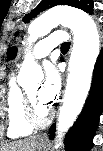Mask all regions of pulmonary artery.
Returning a JSON list of instances; mask_svg holds the SVG:
<instances>
[{
    "mask_svg": "<svg viewBox=\"0 0 103 151\" xmlns=\"http://www.w3.org/2000/svg\"><path fill=\"white\" fill-rule=\"evenodd\" d=\"M68 36L63 31H56L46 38L38 41L32 51L31 55L35 59H41L46 57L57 45L65 43Z\"/></svg>",
    "mask_w": 103,
    "mask_h": 151,
    "instance_id": "obj_1",
    "label": "pulmonary artery"
}]
</instances>
